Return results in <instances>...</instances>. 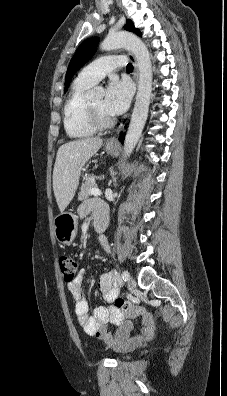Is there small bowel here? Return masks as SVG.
<instances>
[{"mask_svg": "<svg viewBox=\"0 0 227 396\" xmlns=\"http://www.w3.org/2000/svg\"><path fill=\"white\" fill-rule=\"evenodd\" d=\"M90 212L94 213L95 219L107 214L105 205L97 200L81 206V216H87ZM100 242L105 250L110 249L104 238H100ZM84 280L85 271L80 270L73 281L68 283V290L75 302V315L88 335L95 336L115 348L132 346L153 337L155 324L148 312L127 302L124 307L116 306L120 283L113 272H105L99 278L101 296L108 306L96 307L92 314L84 295ZM138 319L142 327L140 332L133 334L134 322ZM107 324L119 326V329L115 334H111L106 327Z\"/></svg>", "mask_w": 227, "mask_h": 396, "instance_id": "obj_1", "label": "small bowel"}]
</instances>
